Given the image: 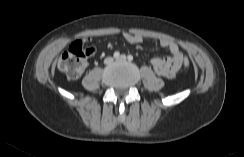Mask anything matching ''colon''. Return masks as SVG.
I'll use <instances>...</instances> for the list:
<instances>
[{
	"mask_svg": "<svg viewBox=\"0 0 244 157\" xmlns=\"http://www.w3.org/2000/svg\"><path fill=\"white\" fill-rule=\"evenodd\" d=\"M94 50L85 48L80 41L74 42L67 51H65L57 62L58 69L65 73L70 79H77L86 67L87 59L92 56ZM190 59L184 57L183 66L189 67Z\"/></svg>",
	"mask_w": 244,
	"mask_h": 157,
	"instance_id": "obj_1",
	"label": "colon"
}]
</instances>
